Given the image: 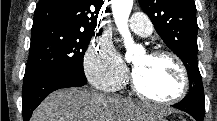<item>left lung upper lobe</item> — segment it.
Wrapping results in <instances>:
<instances>
[{
  "mask_svg": "<svg viewBox=\"0 0 217 121\" xmlns=\"http://www.w3.org/2000/svg\"><path fill=\"white\" fill-rule=\"evenodd\" d=\"M165 44L183 61L189 77V93L205 109L202 78L197 63V19L194 0H139Z\"/></svg>",
  "mask_w": 217,
  "mask_h": 121,
  "instance_id": "obj_1",
  "label": "left lung upper lobe"
}]
</instances>
